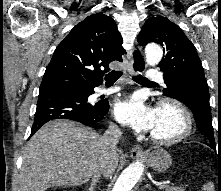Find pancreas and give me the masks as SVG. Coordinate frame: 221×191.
Instances as JSON below:
<instances>
[{
  "label": "pancreas",
  "mask_w": 221,
  "mask_h": 191,
  "mask_svg": "<svg viewBox=\"0 0 221 191\" xmlns=\"http://www.w3.org/2000/svg\"><path fill=\"white\" fill-rule=\"evenodd\" d=\"M165 191H185L182 187L166 186Z\"/></svg>",
  "instance_id": "cf45deb5"
}]
</instances>
